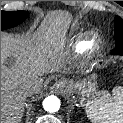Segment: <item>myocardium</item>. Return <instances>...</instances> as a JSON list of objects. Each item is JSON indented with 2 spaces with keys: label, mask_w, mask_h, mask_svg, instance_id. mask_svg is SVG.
<instances>
[{
  "label": "myocardium",
  "mask_w": 123,
  "mask_h": 123,
  "mask_svg": "<svg viewBox=\"0 0 123 123\" xmlns=\"http://www.w3.org/2000/svg\"><path fill=\"white\" fill-rule=\"evenodd\" d=\"M101 43L102 36L97 32H92L83 41H81L82 52L92 54L100 48Z\"/></svg>",
  "instance_id": "f54148a6"
}]
</instances>
